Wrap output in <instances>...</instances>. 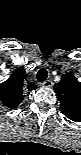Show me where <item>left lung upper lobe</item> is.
Masks as SVG:
<instances>
[{
	"label": "left lung upper lobe",
	"mask_w": 81,
	"mask_h": 155,
	"mask_svg": "<svg viewBox=\"0 0 81 155\" xmlns=\"http://www.w3.org/2000/svg\"><path fill=\"white\" fill-rule=\"evenodd\" d=\"M62 113L70 120L81 122V83L71 74H63L54 85Z\"/></svg>",
	"instance_id": "5c2ea615"
}]
</instances>
